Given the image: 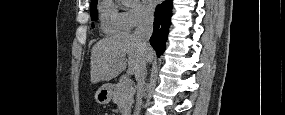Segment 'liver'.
Listing matches in <instances>:
<instances>
[{
	"mask_svg": "<svg viewBox=\"0 0 285 115\" xmlns=\"http://www.w3.org/2000/svg\"><path fill=\"white\" fill-rule=\"evenodd\" d=\"M154 56L149 47L146 62ZM143 60L140 43L132 34L121 32L97 42L91 51V83L110 81L117 77L128 64V74H135Z\"/></svg>",
	"mask_w": 285,
	"mask_h": 115,
	"instance_id": "6515ba94",
	"label": "liver"
}]
</instances>
